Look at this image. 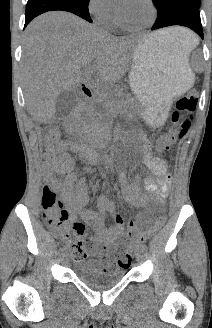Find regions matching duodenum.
I'll use <instances>...</instances> for the list:
<instances>
[{
    "label": "duodenum",
    "mask_w": 212,
    "mask_h": 328,
    "mask_svg": "<svg viewBox=\"0 0 212 328\" xmlns=\"http://www.w3.org/2000/svg\"><path fill=\"white\" fill-rule=\"evenodd\" d=\"M82 95L84 98H92L93 96V92L92 90L88 87V86H83L81 89ZM79 109L76 108L73 113L71 114V116L66 120V127L67 128H71V122L72 119L74 118V116L78 113ZM76 152H78L81 156L89 158V159H95L96 158V152L94 151V149H92L89 146H85V145H79L77 144V148H76Z\"/></svg>",
    "instance_id": "obj_1"
}]
</instances>
